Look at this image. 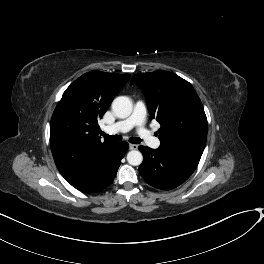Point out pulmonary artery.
I'll return each instance as SVG.
<instances>
[{
    "label": "pulmonary artery",
    "instance_id": "e3ab8cb5",
    "mask_svg": "<svg viewBox=\"0 0 264 264\" xmlns=\"http://www.w3.org/2000/svg\"><path fill=\"white\" fill-rule=\"evenodd\" d=\"M146 119V107L143 101L138 100L133 107V111L129 117L123 119L112 125L105 127V132L108 134L126 133L138 127L137 133L144 140L145 143L156 148L160 145V141L156 138L148 129L144 128V122Z\"/></svg>",
    "mask_w": 264,
    "mask_h": 264
}]
</instances>
